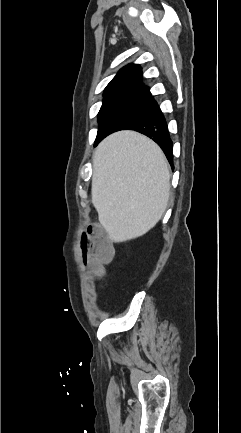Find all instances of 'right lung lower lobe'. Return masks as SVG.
Returning a JSON list of instances; mask_svg holds the SVG:
<instances>
[{
  "mask_svg": "<svg viewBox=\"0 0 241 433\" xmlns=\"http://www.w3.org/2000/svg\"><path fill=\"white\" fill-rule=\"evenodd\" d=\"M122 130H135L150 137L162 148L172 165V140L168 132L166 120L154 99L138 117Z\"/></svg>",
  "mask_w": 241,
  "mask_h": 433,
  "instance_id": "98d812e1",
  "label": "right lung lower lobe"
}]
</instances>
